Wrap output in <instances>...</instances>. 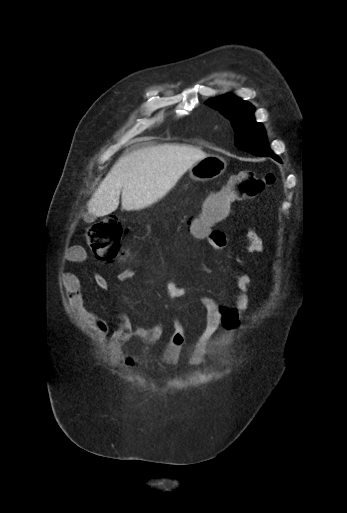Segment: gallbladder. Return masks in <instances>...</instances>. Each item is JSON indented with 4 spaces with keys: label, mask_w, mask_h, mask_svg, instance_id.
<instances>
[{
    "label": "gallbladder",
    "mask_w": 347,
    "mask_h": 513,
    "mask_svg": "<svg viewBox=\"0 0 347 513\" xmlns=\"http://www.w3.org/2000/svg\"><path fill=\"white\" fill-rule=\"evenodd\" d=\"M94 219H95V217H93L92 215H88L87 218H86L87 221H91V220H94Z\"/></svg>",
    "instance_id": "obj_1"
}]
</instances>
